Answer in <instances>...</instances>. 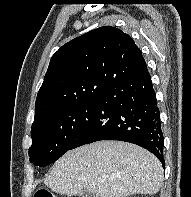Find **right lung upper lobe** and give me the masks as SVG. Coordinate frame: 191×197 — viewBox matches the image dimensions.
I'll use <instances>...</instances> for the list:
<instances>
[{"instance_id": "cb5924a9", "label": "right lung upper lobe", "mask_w": 191, "mask_h": 197, "mask_svg": "<svg viewBox=\"0 0 191 197\" xmlns=\"http://www.w3.org/2000/svg\"><path fill=\"white\" fill-rule=\"evenodd\" d=\"M145 68L133 39L116 27H100L71 40L50 60L32 126L69 107L98 101L108 87Z\"/></svg>"}]
</instances>
